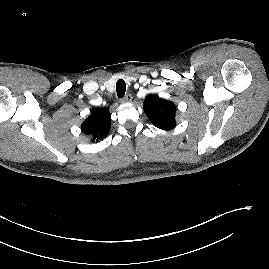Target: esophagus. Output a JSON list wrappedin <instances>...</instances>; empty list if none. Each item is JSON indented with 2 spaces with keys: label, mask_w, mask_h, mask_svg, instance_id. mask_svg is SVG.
<instances>
[{
  "label": "esophagus",
  "mask_w": 269,
  "mask_h": 269,
  "mask_svg": "<svg viewBox=\"0 0 269 269\" xmlns=\"http://www.w3.org/2000/svg\"><path fill=\"white\" fill-rule=\"evenodd\" d=\"M131 101H132V95L131 94H127L121 99L122 103H129Z\"/></svg>",
  "instance_id": "esophagus-1"
}]
</instances>
